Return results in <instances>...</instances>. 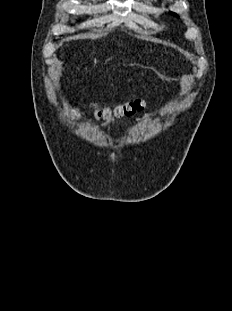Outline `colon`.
Segmentation results:
<instances>
[{"mask_svg": "<svg viewBox=\"0 0 232 311\" xmlns=\"http://www.w3.org/2000/svg\"><path fill=\"white\" fill-rule=\"evenodd\" d=\"M144 102L141 99H132L119 103L113 107L103 106L97 104L92 105L93 114L96 118L109 120L111 118H120L130 116L142 110Z\"/></svg>", "mask_w": 232, "mask_h": 311, "instance_id": "1", "label": "colon"}]
</instances>
